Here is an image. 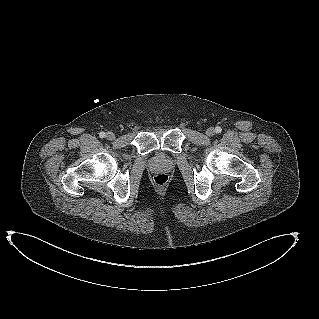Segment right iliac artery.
I'll list each match as a JSON object with an SVG mask.
<instances>
[{"mask_svg": "<svg viewBox=\"0 0 319 319\" xmlns=\"http://www.w3.org/2000/svg\"><path fill=\"white\" fill-rule=\"evenodd\" d=\"M99 136H100L101 138H104V137H105V133H104V132H100V133H99Z\"/></svg>", "mask_w": 319, "mask_h": 319, "instance_id": "right-iliac-artery-1", "label": "right iliac artery"}]
</instances>
